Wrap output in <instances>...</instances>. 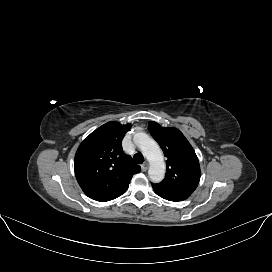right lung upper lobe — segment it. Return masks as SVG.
<instances>
[{"label":"right lung upper lobe","mask_w":272,"mask_h":272,"mask_svg":"<svg viewBox=\"0 0 272 272\" xmlns=\"http://www.w3.org/2000/svg\"><path fill=\"white\" fill-rule=\"evenodd\" d=\"M130 124L108 122L92 132L77 149L75 175L83 192L96 201L115 199L126 192L132 176L140 172L122 151Z\"/></svg>","instance_id":"obj_1"}]
</instances>
